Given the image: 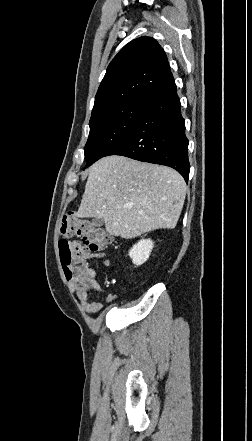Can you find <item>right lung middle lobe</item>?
Wrapping results in <instances>:
<instances>
[{"mask_svg": "<svg viewBox=\"0 0 252 441\" xmlns=\"http://www.w3.org/2000/svg\"><path fill=\"white\" fill-rule=\"evenodd\" d=\"M145 107L144 99L126 101L91 116L90 133L85 146V168L106 156L132 130Z\"/></svg>", "mask_w": 252, "mask_h": 441, "instance_id": "1", "label": "right lung middle lobe"}]
</instances>
